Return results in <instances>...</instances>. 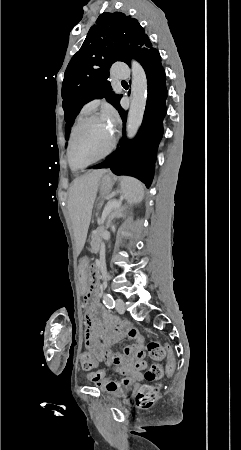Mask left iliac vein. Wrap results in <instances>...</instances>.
Instances as JSON below:
<instances>
[{
  "mask_svg": "<svg viewBox=\"0 0 241 450\" xmlns=\"http://www.w3.org/2000/svg\"><path fill=\"white\" fill-rule=\"evenodd\" d=\"M116 310L118 313L123 314L125 311V305L122 299L117 298L116 300Z\"/></svg>",
  "mask_w": 241,
  "mask_h": 450,
  "instance_id": "1",
  "label": "left iliac vein"
}]
</instances>
